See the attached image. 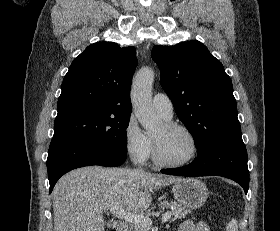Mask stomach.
Wrapping results in <instances>:
<instances>
[{
	"label": "stomach",
	"mask_w": 280,
	"mask_h": 231,
	"mask_svg": "<svg viewBox=\"0 0 280 231\" xmlns=\"http://www.w3.org/2000/svg\"><path fill=\"white\" fill-rule=\"evenodd\" d=\"M172 191L175 199L188 209H198L209 195L205 183L193 177H178L177 181H174Z\"/></svg>",
	"instance_id": "obj_1"
}]
</instances>
